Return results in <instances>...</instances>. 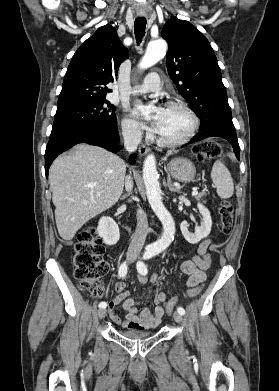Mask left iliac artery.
Here are the masks:
<instances>
[{
  "mask_svg": "<svg viewBox=\"0 0 279 391\" xmlns=\"http://www.w3.org/2000/svg\"><path fill=\"white\" fill-rule=\"evenodd\" d=\"M156 250L154 249H148L144 255H143V259L144 260H148L150 258H152L155 254H156ZM137 270L140 274L142 275H146L148 273V270H147V266L145 265L144 262L142 261H138L137 263ZM177 312L180 313L181 315H184L185 314V310L182 308V307H178L177 308Z\"/></svg>",
  "mask_w": 279,
  "mask_h": 391,
  "instance_id": "left-iliac-artery-1",
  "label": "left iliac artery"
}]
</instances>
